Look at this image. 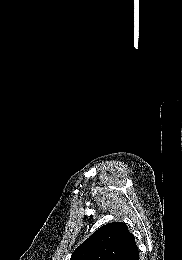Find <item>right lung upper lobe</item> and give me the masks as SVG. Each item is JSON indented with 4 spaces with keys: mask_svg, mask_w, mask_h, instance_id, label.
<instances>
[{
    "mask_svg": "<svg viewBox=\"0 0 182 260\" xmlns=\"http://www.w3.org/2000/svg\"><path fill=\"white\" fill-rule=\"evenodd\" d=\"M135 237L122 222L101 226L72 254L70 260H135Z\"/></svg>",
    "mask_w": 182,
    "mask_h": 260,
    "instance_id": "right-lung-upper-lobe-1",
    "label": "right lung upper lobe"
}]
</instances>
